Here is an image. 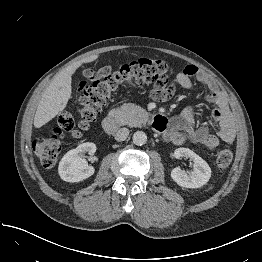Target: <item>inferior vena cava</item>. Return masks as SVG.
Instances as JSON below:
<instances>
[{
	"label": "inferior vena cava",
	"instance_id": "1",
	"mask_svg": "<svg viewBox=\"0 0 262 262\" xmlns=\"http://www.w3.org/2000/svg\"><path fill=\"white\" fill-rule=\"evenodd\" d=\"M129 135V130L127 128H120L116 133H115V139L117 141H124Z\"/></svg>",
	"mask_w": 262,
	"mask_h": 262
}]
</instances>
